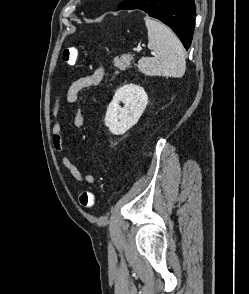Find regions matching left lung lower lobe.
Segmentation results:
<instances>
[{
	"label": "left lung lower lobe",
	"instance_id": "left-lung-lower-lobe-1",
	"mask_svg": "<svg viewBox=\"0 0 249 294\" xmlns=\"http://www.w3.org/2000/svg\"><path fill=\"white\" fill-rule=\"evenodd\" d=\"M123 9L145 11L168 25L186 49L190 47L195 24L194 0H126L117 11Z\"/></svg>",
	"mask_w": 249,
	"mask_h": 294
}]
</instances>
